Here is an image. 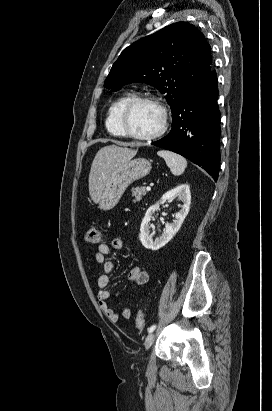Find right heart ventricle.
Segmentation results:
<instances>
[{
	"mask_svg": "<svg viewBox=\"0 0 272 411\" xmlns=\"http://www.w3.org/2000/svg\"><path fill=\"white\" fill-rule=\"evenodd\" d=\"M131 98L130 93H124L119 96L109 107L105 119L107 131L114 136L124 137L119 125V113L123 105Z\"/></svg>",
	"mask_w": 272,
	"mask_h": 411,
	"instance_id": "right-heart-ventricle-1",
	"label": "right heart ventricle"
}]
</instances>
